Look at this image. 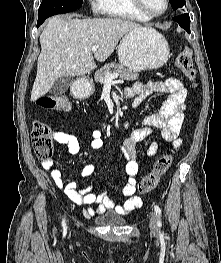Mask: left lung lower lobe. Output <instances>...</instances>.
Wrapping results in <instances>:
<instances>
[{
    "mask_svg": "<svg viewBox=\"0 0 221 263\" xmlns=\"http://www.w3.org/2000/svg\"><path fill=\"white\" fill-rule=\"evenodd\" d=\"M182 28H184L188 33H190V18L189 14H182L173 18Z\"/></svg>",
    "mask_w": 221,
    "mask_h": 263,
    "instance_id": "1",
    "label": "left lung lower lobe"
}]
</instances>
